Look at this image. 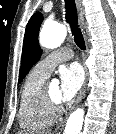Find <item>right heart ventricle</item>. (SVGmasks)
Segmentation results:
<instances>
[{
    "label": "right heart ventricle",
    "mask_w": 116,
    "mask_h": 134,
    "mask_svg": "<svg viewBox=\"0 0 116 134\" xmlns=\"http://www.w3.org/2000/svg\"><path fill=\"white\" fill-rule=\"evenodd\" d=\"M48 75L34 67L26 76L20 92L18 121L24 130L41 131L48 128L55 120L43 100V88Z\"/></svg>",
    "instance_id": "obj_1"
}]
</instances>
